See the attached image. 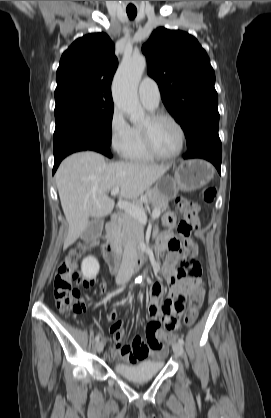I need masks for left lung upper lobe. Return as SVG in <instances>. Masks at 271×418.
Instances as JSON below:
<instances>
[{"label":"left lung upper lobe","mask_w":271,"mask_h":418,"mask_svg":"<svg viewBox=\"0 0 271 418\" xmlns=\"http://www.w3.org/2000/svg\"><path fill=\"white\" fill-rule=\"evenodd\" d=\"M148 73L159 85L162 100L184 130L187 147L218 135L215 73L206 51L192 35L157 28L142 47Z\"/></svg>","instance_id":"left-lung-upper-lobe-1"}]
</instances>
